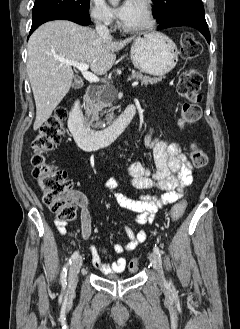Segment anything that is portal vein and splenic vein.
Listing matches in <instances>:
<instances>
[{"label":"portal vein and splenic vein","instance_id":"obj_1","mask_svg":"<svg viewBox=\"0 0 240 329\" xmlns=\"http://www.w3.org/2000/svg\"><path fill=\"white\" fill-rule=\"evenodd\" d=\"M59 61L63 64L66 65H71L76 67L83 75V77L91 82V83H96L99 81V78L94 75L93 73L88 71L89 65L86 63H79V62H75V61H71V60H64V59H59ZM138 85V81H135L132 83V87H136Z\"/></svg>","mask_w":240,"mask_h":329}]
</instances>
